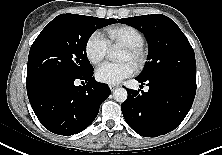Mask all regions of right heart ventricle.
<instances>
[{
  "instance_id": "1",
  "label": "right heart ventricle",
  "mask_w": 222,
  "mask_h": 155,
  "mask_svg": "<svg viewBox=\"0 0 222 155\" xmlns=\"http://www.w3.org/2000/svg\"><path fill=\"white\" fill-rule=\"evenodd\" d=\"M109 44L126 46H144V35L135 27L121 25L107 29Z\"/></svg>"
}]
</instances>
